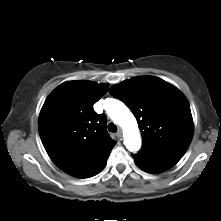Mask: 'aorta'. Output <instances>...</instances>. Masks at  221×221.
<instances>
[{
	"mask_svg": "<svg viewBox=\"0 0 221 221\" xmlns=\"http://www.w3.org/2000/svg\"><path fill=\"white\" fill-rule=\"evenodd\" d=\"M109 117L123 128L124 145L130 152L141 148V137L137 121L128 107L119 100H111L107 109Z\"/></svg>",
	"mask_w": 221,
	"mask_h": 221,
	"instance_id": "obj_1",
	"label": "aorta"
}]
</instances>
